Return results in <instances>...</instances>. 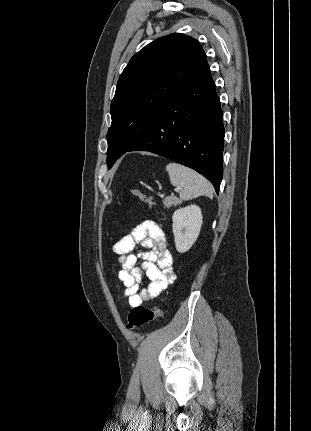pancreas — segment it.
<instances>
[{"label":"pancreas","instance_id":"pancreas-1","mask_svg":"<svg viewBox=\"0 0 311 431\" xmlns=\"http://www.w3.org/2000/svg\"><path fill=\"white\" fill-rule=\"evenodd\" d=\"M180 204H182V200H179L176 196H167L163 200L164 208H172V206H180Z\"/></svg>","mask_w":311,"mask_h":431}]
</instances>
